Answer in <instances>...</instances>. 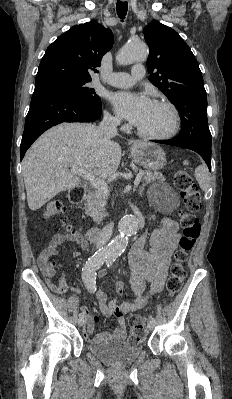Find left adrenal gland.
I'll return each instance as SVG.
<instances>
[{
    "label": "left adrenal gland",
    "instance_id": "a2214340",
    "mask_svg": "<svg viewBox=\"0 0 232 399\" xmlns=\"http://www.w3.org/2000/svg\"><path fill=\"white\" fill-rule=\"evenodd\" d=\"M143 190H144V186H141V188H140V190H139V194H141V196H142Z\"/></svg>",
    "mask_w": 232,
    "mask_h": 399
}]
</instances>
